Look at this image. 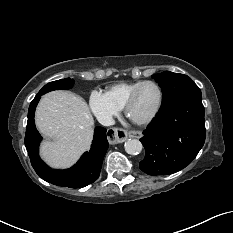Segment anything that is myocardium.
Returning <instances> with one entry per match:
<instances>
[{
  "label": "myocardium",
  "mask_w": 233,
  "mask_h": 233,
  "mask_svg": "<svg viewBox=\"0 0 233 233\" xmlns=\"http://www.w3.org/2000/svg\"><path fill=\"white\" fill-rule=\"evenodd\" d=\"M149 84L150 85H154L157 88V90H158V101H157V104H156L155 108L147 116H145L143 118L133 117L132 114H131V111H132V108H133V106H134L137 98H138V95H139L141 89L144 86L149 85ZM162 103H163V91H162V88L160 87V85L157 82L151 81V80H147V81H143L140 85H138L132 91V93L130 94L129 98L127 99V101L125 103L124 111H125L126 116L132 122H134L137 125H145V124L150 123L156 117V115L158 114V112L161 109Z\"/></svg>",
  "instance_id": "myocardium-1"
}]
</instances>
